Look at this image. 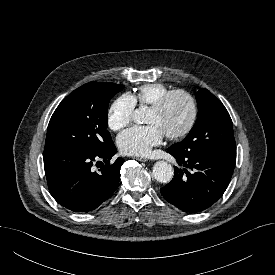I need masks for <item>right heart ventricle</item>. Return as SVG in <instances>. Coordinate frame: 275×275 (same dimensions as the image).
<instances>
[{
  "mask_svg": "<svg viewBox=\"0 0 275 275\" xmlns=\"http://www.w3.org/2000/svg\"><path fill=\"white\" fill-rule=\"evenodd\" d=\"M169 91L170 89L162 83H149L140 86L131 96L139 105L152 106Z\"/></svg>",
  "mask_w": 275,
  "mask_h": 275,
  "instance_id": "e07e8e85",
  "label": "right heart ventricle"
}]
</instances>
